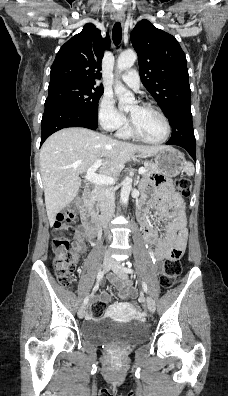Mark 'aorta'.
Instances as JSON below:
<instances>
[{
  "label": "aorta",
  "instance_id": "obj_1",
  "mask_svg": "<svg viewBox=\"0 0 228 396\" xmlns=\"http://www.w3.org/2000/svg\"><path fill=\"white\" fill-rule=\"evenodd\" d=\"M136 59H137V54L132 50L121 53L117 60L118 72L120 73L123 70L131 68L134 65ZM114 91L119 99V105L123 109L127 110L131 107V105L135 103L134 95L130 91H128L124 87V85L118 80H116L115 82ZM131 189H132V179L130 177H126L123 180L121 194H120L121 201L124 205L128 204L129 194Z\"/></svg>",
  "mask_w": 228,
  "mask_h": 396
}]
</instances>
